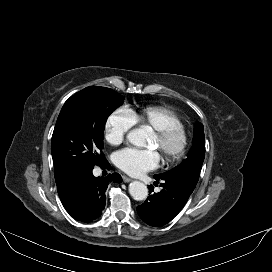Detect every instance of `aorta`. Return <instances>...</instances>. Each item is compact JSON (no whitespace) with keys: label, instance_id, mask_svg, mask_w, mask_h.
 Here are the masks:
<instances>
[{"label":"aorta","instance_id":"1","mask_svg":"<svg viewBox=\"0 0 272 272\" xmlns=\"http://www.w3.org/2000/svg\"><path fill=\"white\" fill-rule=\"evenodd\" d=\"M127 140L135 146H144L145 133L140 129H134L127 134ZM129 193L133 199L142 201L148 196V188L140 181H133L129 185Z\"/></svg>","mask_w":272,"mask_h":272}]
</instances>
